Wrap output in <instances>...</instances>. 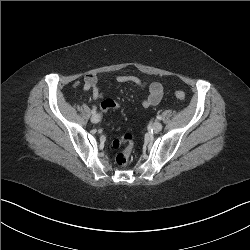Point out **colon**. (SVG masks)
<instances>
[{"label": "colon", "mask_w": 250, "mask_h": 250, "mask_svg": "<svg viewBox=\"0 0 250 250\" xmlns=\"http://www.w3.org/2000/svg\"><path fill=\"white\" fill-rule=\"evenodd\" d=\"M175 96L178 100L183 101L185 99V93L182 90H176ZM101 108L103 110L114 109L115 112L121 111V106L116 104L115 101L111 99H106L101 103ZM134 136L131 133H125L122 136L116 138L113 141V146L115 148L123 147L115 158L116 164L120 167L125 166L133 152L134 149Z\"/></svg>", "instance_id": "obj_1"}]
</instances>
